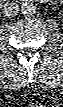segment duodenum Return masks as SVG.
<instances>
[{"label": "duodenum", "mask_w": 63, "mask_h": 107, "mask_svg": "<svg viewBox=\"0 0 63 107\" xmlns=\"http://www.w3.org/2000/svg\"><path fill=\"white\" fill-rule=\"evenodd\" d=\"M3 2H7V0H3Z\"/></svg>", "instance_id": "1"}]
</instances>
